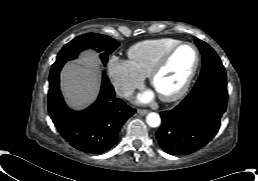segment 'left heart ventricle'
Segmentation results:
<instances>
[{
    "label": "left heart ventricle",
    "instance_id": "obj_1",
    "mask_svg": "<svg viewBox=\"0 0 258 181\" xmlns=\"http://www.w3.org/2000/svg\"><path fill=\"white\" fill-rule=\"evenodd\" d=\"M195 60V52L190 46L178 49L156 78L155 91L158 94L169 95L179 90L190 74Z\"/></svg>",
    "mask_w": 258,
    "mask_h": 181
}]
</instances>
